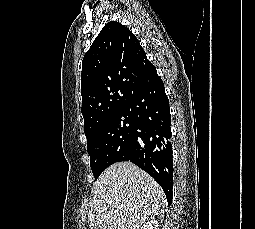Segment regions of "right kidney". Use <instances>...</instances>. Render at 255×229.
Segmentation results:
<instances>
[{"label":"right kidney","instance_id":"obj_1","mask_svg":"<svg viewBox=\"0 0 255 229\" xmlns=\"http://www.w3.org/2000/svg\"><path fill=\"white\" fill-rule=\"evenodd\" d=\"M159 222L155 219H151L150 221L146 222L141 229H159L158 227Z\"/></svg>","mask_w":255,"mask_h":229}]
</instances>
